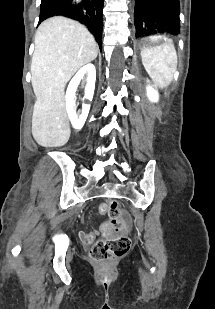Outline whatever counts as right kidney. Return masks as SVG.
Returning <instances> with one entry per match:
<instances>
[{
  "label": "right kidney",
  "mask_w": 215,
  "mask_h": 309,
  "mask_svg": "<svg viewBox=\"0 0 215 309\" xmlns=\"http://www.w3.org/2000/svg\"><path fill=\"white\" fill-rule=\"evenodd\" d=\"M84 74L87 76L84 98H89V100H92L96 80V68L94 64H85V66H82V68L76 72L75 76H73L72 80H70L68 84L65 96L66 110L74 128H82L90 108V104H82V112L78 118L75 104V92Z\"/></svg>",
  "instance_id": "ca27d5eb"
}]
</instances>
